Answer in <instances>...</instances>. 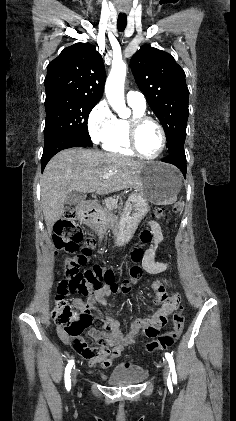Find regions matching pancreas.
Segmentation results:
<instances>
[{
	"label": "pancreas",
	"instance_id": "pancreas-1",
	"mask_svg": "<svg viewBox=\"0 0 236 421\" xmlns=\"http://www.w3.org/2000/svg\"><path fill=\"white\" fill-rule=\"evenodd\" d=\"M118 198H108V200H105L106 208L105 211H113V208H118Z\"/></svg>",
	"mask_w": 236,
	"mask_h": 421
}]
</instances>
